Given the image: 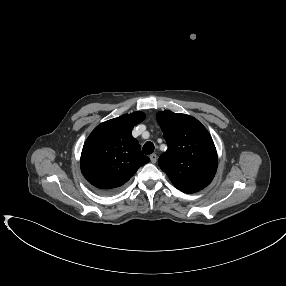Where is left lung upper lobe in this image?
<instances>
[{"label": "left lung upper lobe", "mask_w": 286, "mask_h": 286, "mask_svg": "<svg viewBox=\"0 0 286 286\" xmlns=\"http://www.w3.org/2000/svg\"><path fill=\"white\" fill-rule=\"evenodd\" d=\"M168 149L158 160L173 185L184 193L208 186L217 170V152L207 129L194 117L157 113Z\"/></svg>", "instance_id": "left-lung-upper-lobe-1"}]
</instances>
